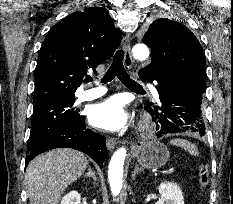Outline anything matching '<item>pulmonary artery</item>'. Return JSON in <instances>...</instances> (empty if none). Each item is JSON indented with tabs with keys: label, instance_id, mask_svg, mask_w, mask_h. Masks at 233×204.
Listing matches in <instances>:
<instances>
[{
	"label": "pulmonary artery",
	"instance_id": "obj_1",
	"mask_svg": "<svg viewBox=\"0 0 233 204\" xmlns=\"http://www.w3.org/2000/svg\"><path fill=\"white\" fill-rule=\"evenodd\" d=\"M95 87L85 90L81 96L79 97V99L81 101H90V100H94L96 98L101 97L102 95H104L107 91V89L104 86L99 85V83L97 81L93 82ZM152 91L157 95V92L155 90L154 87L150 86Z\"/></svg>",
	"mask_w": 233,
	"mask_h": 204
}]
</instances>
